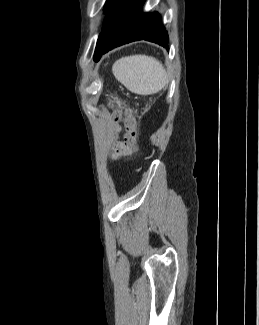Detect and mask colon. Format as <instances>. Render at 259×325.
Listing matches in <instances>:
<instances>
[{
  "instance_id": "5ec220e1",
  "label": "colon",
  "mask_w": 259,
  "mask_h": 325,
  "mask_svg": "<svg viewBox=\"0 0 259 325\" xmlns=\"http://www.w3.org/2000/svg\"><path fill=\"white\" fill-rule=\"evenodd\" d=\"M123 109L125 112V142L129 146H133L137 139V131H136V119L132 113V110L127 105V103L123 104ZM111 128H116V123H111Z\"/></svg>"
}]
</instances>
